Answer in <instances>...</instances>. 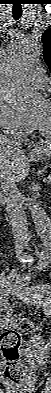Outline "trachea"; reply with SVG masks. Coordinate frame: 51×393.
<instances>
[{
    "mask_svg": "<svg viewBox=\"0 0 51 393\" xmlns=\"http://www.w3.org/2000/svg\"><path fill=\"white\" fill-rule=\"evenodd\" d=\"M20 17H21V15H19V14H13L14 20H18Z\"/></svg>",
    "mask_w": 51,
    "mask_h": 393,
    "instance_id": "1",
    "label": "trachea"
}]
</instances>
